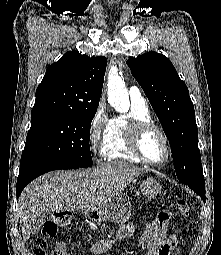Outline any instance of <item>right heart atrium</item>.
<instances>
[{"instance_id": "obj_1", "label": "right heart atrium", "mask_w": 221, "mask_h": 255, "mask_svg": "<svg viewBox=\"0 0 221 255\" xmlns=\"http://www.w3.org/2000/svg\"><path fill=\"white\" fill-rule=\"evenodd\" d=\"M110 119L104 105L100 104L89 124V143L94 151H98L102 145L108 131Z\"/></svg>"}]
</instances>
